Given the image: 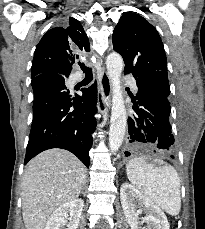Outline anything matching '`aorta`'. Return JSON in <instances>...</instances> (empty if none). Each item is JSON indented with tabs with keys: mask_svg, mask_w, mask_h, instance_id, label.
<instances>
[{
	"mask_svg": "<svg viewBox=\"0 0 205 229\" xmlns=\"http://www.w3.org/2000/svg\"><path fill=\"white\" fill-rule=\"evenodd\" d=\"M124 62L120 54L112 52L107 56L106 68L112 85V109L109 130V148L115 153L122 145L127 115L121 86V74Z\"/></svg>",
	"mask_w": 205,
	"mask_h": 229,
	"instance_id": "aorta-1",
	"label": "aorta"
}]
</instances>
